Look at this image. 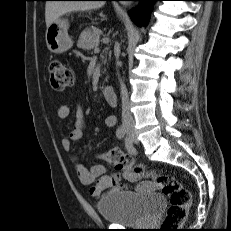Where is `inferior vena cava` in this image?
Wrapping results in <instances>:
<instances>
[{"label":"inferior vena cava","mask_w":231,"mask_h":231,"mask_svg":"<svg viewBox=\"0 0 231 231\" xmlns=\"http://www.w3.org/2000/svg\"><path fill=\"white\" fill-rule=\"evenodd\" d=\"M115 51L119 55V45L115 44ZM121 101H122V123L124 126H134L133 116L130 112V101L127 88L125 84L120 81Z\"/></svg>","instance_id":"inferior-vena-cava-1"}]
</instances>
